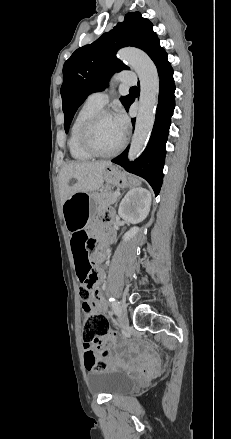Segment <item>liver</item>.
I'll return each mask as SVG.
<instances>
[{
    "label": "liver",
    "mask_w": 231,
    "mask_h": 439,
    "mask_svg": "<svg viewBox=\"0 0 231 439\" xmlns=\"http://www.w3.org/2000/svg\"><path fill=\"white\" fill-rule=\"evenodd\" d=\"M109 166V161L66 163L59 174L61 204L76 192H92L99 189L104 182L103 172ZM72 178L76 179V183L69 185Z\"/></svg>",
    "instance_id": "obj_1"
}]
</instances>
